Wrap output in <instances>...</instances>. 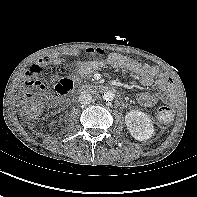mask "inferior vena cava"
I'll use <instances>...</instances> for the list:
<instances>
[{
  "mask_svg": "<svg viewBox=\"0 0 197 197\" xmlns=\"http://www.w3.org/2000/svg\"><path fill=\"white\" fill-rule=\"evenodd\" d=\"M92 101V95L86 92H83L79 95V103L89 104Z\"/></svg>",
  "mask_w": 197,
  "mask_h": 197,
  "instance_id": "obj_1",
  "label": "inferior vena cava"
}]
</instances>
